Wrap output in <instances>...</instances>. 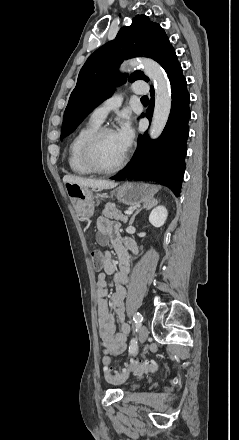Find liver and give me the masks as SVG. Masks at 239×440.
I'll return each instance as SVG.
<instances>
[{
	"instance_id": "6515ba94",
	"label": "liver",
	"mask_w": 239,
	"mask_h": 440,
	"mask_svg": "<svg viewBox=\"0 0 239 440\" xmlns=\"http://www.w3.org/2000/svg\"><path fill=\"white\" fill-rule=\"evenodd\" d=\"M64 184H77L80 188H93V190H111L117 184L109 180H90V178H80V176H64Z\"/></svg>"
}]
</instances>
